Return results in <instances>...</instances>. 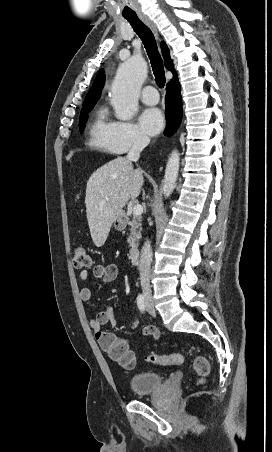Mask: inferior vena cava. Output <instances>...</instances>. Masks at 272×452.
I'll list each match as a JSON object with an SVG mask.
<instances>
[{
  "label": "inferior vena cava",
  "instance_id": "602c4592",
  "mask_svg": "<svg viewBox=\"0 0 272 452\" xmlns=\"http://www.w3.org/2000/svg\"><path fill=\"white\" fill-rule=\"evenodd\" d=\"M150 139L144 135H138L133 143L132 148L127 154L129 161H137L140 158L141 151L149 144ZM152 262V249L150 242L147 240L142 249L140 255L139 272L141 288L145 300L152 299V292L150 286V267Z\"/></svg>",
  "mask_w": 272,
  "mask_h": 452
}]
</instances>
